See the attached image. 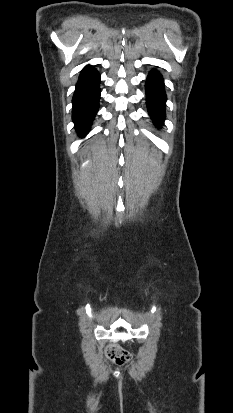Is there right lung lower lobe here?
<instances>
[{
    "mask_svg": "<svg viewBox=\"0 0 233 413\" xmlns=\"http://www.w3.org/2000/svg\"><path fill=\"white\" fill-rule=\"evenodd\" d=\"M100 74L93 66H86L79 76L73 95L72 119L80 137L90 130L99 108Z\"/></svg>",
    "mask_w": 233,
    "mask_h": 413,
    "instance_id": "98d812e1",
    "label": "right lung lower lobe"
}]
</instances>
